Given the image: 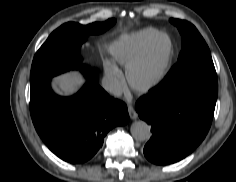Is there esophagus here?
Listing matches in <instances>:
<instances>
[{"instance_id":"1","label":"esophagus","mask_w":236,"mask_h":182,"mask_svg":"<svg viewBox=\"0 0 236 182\" xmlns=\"http://www.w3.org/2000/svg\"><path fill=\"white\" fill-rule=\"evenodd\" d=\"M128 113L131 119L138 118V114L132 105H128Z\"/></svg>"}]
</instances>
